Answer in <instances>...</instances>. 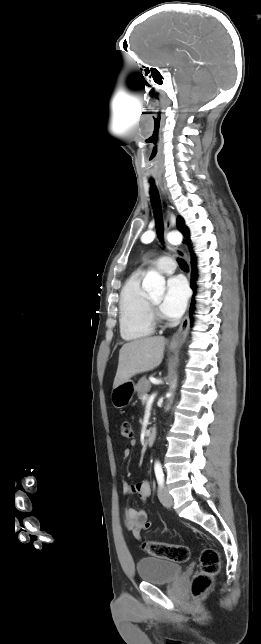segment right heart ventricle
<instances>
[{
    "instance_id": "e07e8e85",
    "label": "right heart ventricle",
    "mask_w": 261,
    "mask_h": 644,
    "mask_svg": "<svg viewBox=\"0 0 261 644\" xmlns=\"http://www.w3.org/2000/svg\"><path fill=\"white\" fill-rule=\"evenodd\" d=\"M141 278L140 271L133 273L125 281L120 292V334L127 341L139 340L154 332L149 296L141 286Z\"/></svg>"
}]
</instances>
